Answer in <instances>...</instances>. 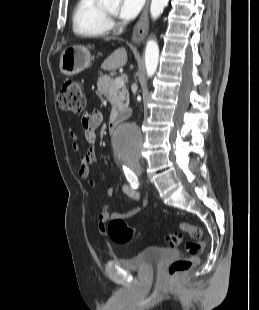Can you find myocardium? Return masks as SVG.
<instances>
[{"mask_svg":"<svg viewBox=\"0 0 259 310\" xmlns=\"http://www.w3.org/2000/svg\"><path fill=\"white\" fill-rule=\"evenodd\" d=\"M103 10V13H104V15L106 16V18L109 20V19H111V18H113V14H110V13H108L106 10H104V9H102Z\"/></svg>","mask_w":259,"mask_h":310,"instance_id":"myocardium-1","label":"myocardium"}]
</instances>
